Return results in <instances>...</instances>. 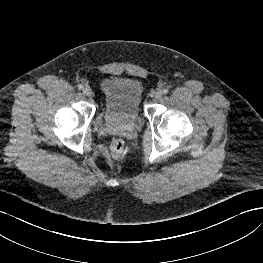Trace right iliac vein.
Instances as JSON below:
<instances>
[{
    "mask_svg": "<svg viewBox=\"0 0 263 263\" xmlns=\"http://www.w3.org/2000/svg\"><path fill=\"white\" fill-rule=\"evenodd\" d=\"M83 94L87 97H90L92 95V90L89 86H85L83 88Z\"/></svg>",
    "mask_w": 263,
    "mask_h": 263,
    "instance_id": "1",
    "label": "right iliac vein"
}]
</instances>
